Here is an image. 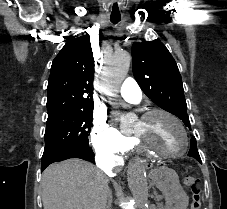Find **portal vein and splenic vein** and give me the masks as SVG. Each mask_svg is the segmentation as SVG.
<instances>
[{
	"mask_svg": "<svg viewBox=\"0 0 227 209\" xmlns=\"http://www.w3.org/2000/svg\"><path fill=\"white\" fill-rule=\"evenodd\" d=\"M158 197L161 199L163 196L160 194Z\"/></svg>",
	"mask_w": 227,
	"mask_h": 209,
	"instance_id": "portal-vein-and-splenic-vein-1",
	"label": "portal vein and splenic vein"
}]
</instances>
